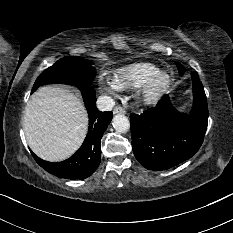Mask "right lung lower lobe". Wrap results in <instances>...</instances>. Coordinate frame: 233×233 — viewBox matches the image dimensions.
<instances>
[{
  "mask_svg": "<svg viewBox=\"0 0 233 233\" xmlns=\"http://www.w3.org/2000/svg\"><path fill=\"white\" fill-rule=\"evenodd\" d=\"M89 114V131L80 149L69 159L51 163L32 155L47 172L66 179H85L98 168L101 160V138L107 129L113 113L100 112L96 108L95 90L89 86H79Z\"/></svg>",
  "mask_w": 233,
  "mask_h": 233,
  "instance_id": "98d812e1",
  "label": "right lung lower lobe"
}]
</instances>
